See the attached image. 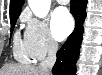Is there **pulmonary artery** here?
<instances>
[{"mask_svg": "<svg viewBox=\"0 0 102 75\" xmlns=\"http://www.w3.org/2000/svg\"><path fill=\"white\" fill-rule=\"evenodd\" d=\"M58 2H59V3H65V2H67V1H65V0H58Z\"/></svg>", "mask_w": 102, "mask_h": 75, "instance_id": "1", "label": "pulmonary artery"}]
</instances>
